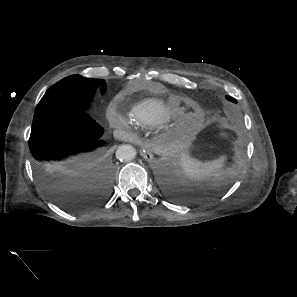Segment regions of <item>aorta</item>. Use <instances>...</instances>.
Listing matches in <instances>:
<instances>
[{"label": "aorta", "mask_w": 297, "mask_h": 297, "mask_svg": "<svg viewBox=\"0 0 297 297\" xmlns=\"http://www.w3.org/2000/svg\"><path fill=\"white\" fill-rule=\"evenodd\" d=\"M135 156L136 150L131 145H121L116 151V158L123 162L131 161Z\"/></svg>", "instance_id": "obj_1"}]
</instances>
